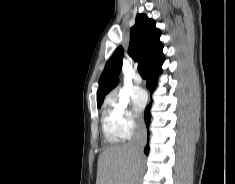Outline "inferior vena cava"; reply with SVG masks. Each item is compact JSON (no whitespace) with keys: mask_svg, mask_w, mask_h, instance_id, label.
I'll return each instance as SVG.
<instances>
[{"mask_svg":"<svg viewBox=\"0 0 235 184\" xmlns=\"http://www.w3.org/2000/svg\"><path fill=\"white\" fill-rule=\"evenodd\" d=\"M147 142V130L145 128L144 120L136 118L134 136L130 142V146L137 156L143 154Z\"/></svg>","mask_w":235,"mask_h":184,"instance_id":"602c4592","label":"inferior vena cava"}]
</instances>
